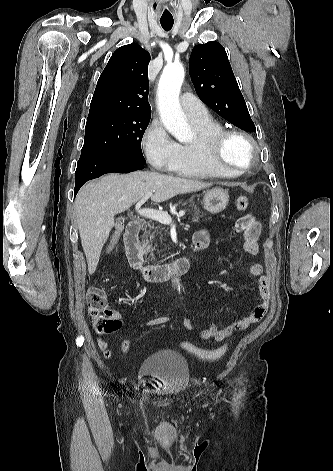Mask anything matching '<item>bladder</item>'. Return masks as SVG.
<instances>
[{"instance_id": "1", "label": "bladder", "mask_w": 333, "mask_h": 471, "mask_svg": "<svg viewBox=\"0 0 333 471\" xmlns=\"http://www.w3.org/2000/svg\"><path fill=\"white\" fill-rule=\"evenodd\" d=\"M139 376L154 378L161 383L162 395L174 396L188 386L190 372L186 359L174 350H160L148 356L141 363Z\"/></svg>"}]
</instances>
